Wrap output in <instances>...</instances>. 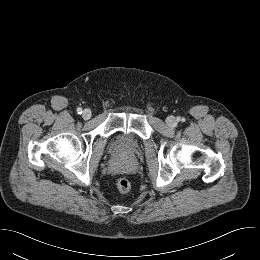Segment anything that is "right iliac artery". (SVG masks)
Segmentation results:
<instances>
[{
  "label": "right iliac artery",
  "mask_w": 260,
  "mask_h": 260,
  "mask_svg": "<svg viewBox=\"0 0 260 260\" xmlns=\"http://www.w3.org/2000/svg\"><path fill=\"white\" fill-rule=\"evenodd\" d=\"M76 111H77L78 114H81L82 113V108L79 107V108H77Z\"/></svg>",
  "instance_id": "obj_1"
}]
</instances>
